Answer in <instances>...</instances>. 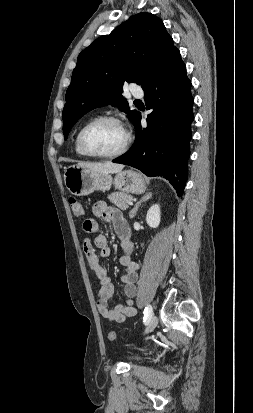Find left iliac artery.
I'll return each mask as SVG.
<instances>
[{"mask_svg":"<svg viewBox=\"0 0 253 413\" xmlns=\"http://www.w3.org/2000/svg\"><path fill=\"white\" fill-rule=\"evenodd\" d=\"M153 315V310L151 305H147L144 309V321H148Z\"/></svg>","mask_w":253,"mask_h":413,"instance_id":"1","label":"left iliac artery"}]
</instances>
